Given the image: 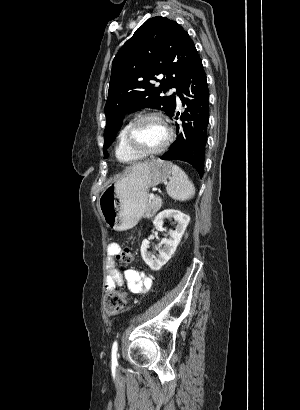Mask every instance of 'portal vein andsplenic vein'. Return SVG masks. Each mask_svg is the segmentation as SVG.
Masks as SVG:
<instances>
[{"instance_id":"obj_1","label":"portal vein and splenic vein","mask_w":300,"mask_h":410,"mask_svg":"<svg viewBox=\"0 0 300 410\" xmlns=\"http://www.w3.org/2000/svg\"><path fill=\"white\" fill-rule=\"evenodd\" d=\"M149 198L152 199V200H154V199L156 198V196H155L154 194H150V195H149Z\"/></svg>"}]
</instances>
